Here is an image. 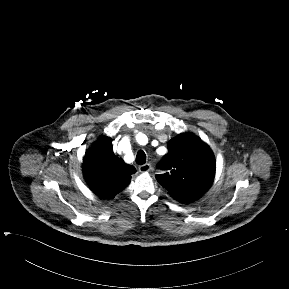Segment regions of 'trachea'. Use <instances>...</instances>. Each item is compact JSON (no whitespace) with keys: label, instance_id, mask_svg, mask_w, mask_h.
Wrapping results in <instances>:
<instances>
[{"label":"trachea","instance_id":"3493384b","mask_svg":"<svg viewBox=\"0 0 289 289\" xmlns=\"http://www.w3.org/2000/svg\"><path fill=\"white\" fill-rule=\"evenodd\" d=\"M145 162H146V154L142 150L138 151L136 155V163L143 165L145 164Z\"/></svg>","mask_w":289,"mask_h":289}]
</instances>
